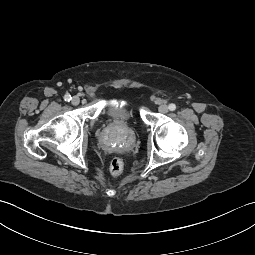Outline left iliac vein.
<instances>
[{"label":"left iliac vein","instance_id":"obj_1","mask_svg":"<svg viewBox=\"0 0 255 255\" xmlns=\"http://www.w3.org/2000/svg\"><path fill=\"white\" fill-rule=\"evenodd\" d=\"M168 106L166 104H161L159 107H158V110L160 113H167L168 112Z\"/></svg>","mask_w":255,"mask_h":255}]
</instances>
